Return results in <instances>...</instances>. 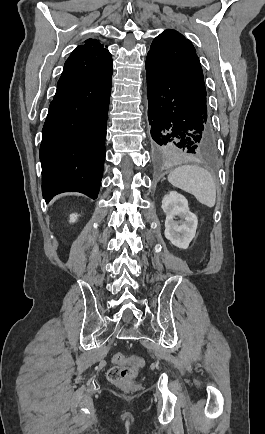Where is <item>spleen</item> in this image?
Returning a JSON list of instances; mask_svg holds the SVG:
<instances>
[{
    "label": "spleen",
    "instance_id": "obj_1",
    "mask_svg": "<svg viewBox=\"0 0 265 434\" xmlns=\"http://www.w3.org/2000/svg\"><path fill=\"white\" fill-rule=\"evenodd\" d=\"M168 182L180 190L193 194L196 200L208 208L216 204L215 182L205 168L200 166H179L172 170L168 176Z\"/></svg>",
    "mask_w": 265,
    "mask_h": 434
}]
</instances>
